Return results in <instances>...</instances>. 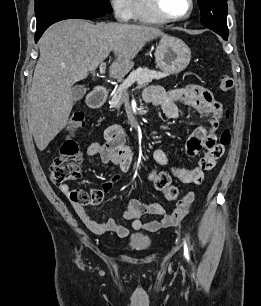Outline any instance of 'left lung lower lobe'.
Instances as JSON below:
<instances>
[{
  "label": "left lung lower lobe",
  "instance_id": "obj_1",
  "mask_svg": "<svg viewBox=\"0 0 261 306\" xmlns=\"http://www.w3.org/2000/svg\"><path fill=\"white\" fill-rule=\"evenodd\" d=\"M216 33H218L224 40H227L228 33H223V32H216Z\"/></svg>",
  "mask_w": 261,
  "mask_h": 306
}]
</instances>
